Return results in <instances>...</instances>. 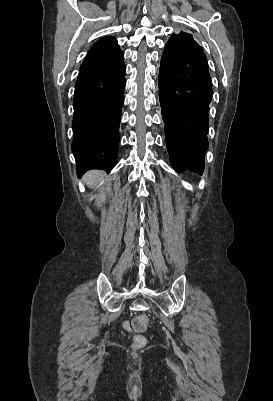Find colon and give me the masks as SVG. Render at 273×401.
<instances>
[{
  "instance_id": "colon-1",
  "label": "colon",
  "mask_w": 273,
  "mask_h": 401,
  "mask_svg": "<svg viewBox=\"0 0 273 401\" xmlns=\"http://www.w3.org/2000/svg\"><path fill=\"white\" fill-rule=\"evenodd\" d=\"M141 319H137L133 323V327L135 332L137 333H145L147 330V321L142 320L145 318L144 314L140 315ZM149 344V339L148 337H145L143 334H140L139 336L135 337L134 340H130L128 343L129 346V352L131 356H134L135 353H143L144 349L147 348Z\"/></svg>"
}]
</instances>
